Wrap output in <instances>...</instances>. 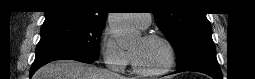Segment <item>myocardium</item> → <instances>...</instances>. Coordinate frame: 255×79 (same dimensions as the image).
<instances>
[{
  "label": "myocardium",
  "instance_id": "myocardium-1",
  "mask_svg": "<svg viewBox=\"0 0 255 79\" xmlns=\"http://www.w3.org/2000/svg\"><path fill=\"white\" fill-rule=\"evenodd\" d=\"M143 39L148 40V41H150V40L162 41L167 47L168 59H167L166 64L161 69H158L155 71H147V70L142 69L138 65L134 55L132 53H130L131 63H132V67H133L134 71L141 76H147V77L159 76V75L167 73L173 67V65L175 63L176 55H175V49H174L173 44L170 42L169 39H167L165 36H163L161 34H155V33L147 34V35L143 36Z\"/></svg>",
  "mask_w": 255,
  "mask_h": 79
}]
</instances>
